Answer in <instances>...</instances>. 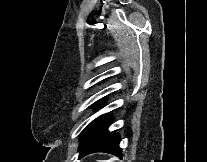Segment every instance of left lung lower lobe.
<instances>
[{
  "label": "left lung lower lobe",
  "instance_id": "0a47b994",
  "mask_svg": "<svg viewBox=\"0 0 207 162\" xmlns=\"http://www.w3.org/2000/svg\"><path fill=\"white\" fill-rule=\"evenodd\" d=\"M112 123L109 114H103L93 120L80 135L79 158L95 153L105 152L121 157L119 147L120 138L114 132L107 129Z\"/></svg>",
  "mask_w": 207,
  "mask_h": 162
}]
</instances>
